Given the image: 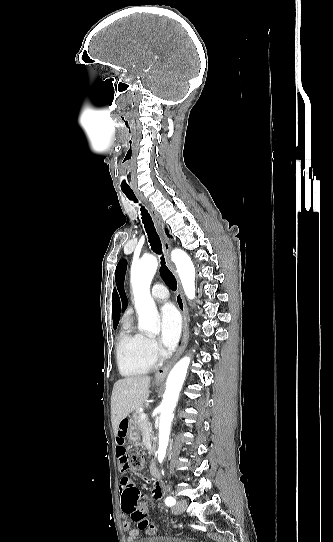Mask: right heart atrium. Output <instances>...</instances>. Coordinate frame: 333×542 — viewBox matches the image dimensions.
I'll list each match as a JSON object with an SVG mask.
<instances>
[{"label": "right heart atrium", "instance_id": "d8ad5b80", "mask_svg": "<svg viewBox=\"0 0 333 542\" xmlns=\"http://www.w3.org/2000/svg\"><path fill=\"white\" fill-rule=\"evenodd\" d=\"M148 345L151 349H154L156 347V341L154 339H150L148 340Z\"/></svg>", "mask_w": 333, "mask_h": 542}]
</instances>
